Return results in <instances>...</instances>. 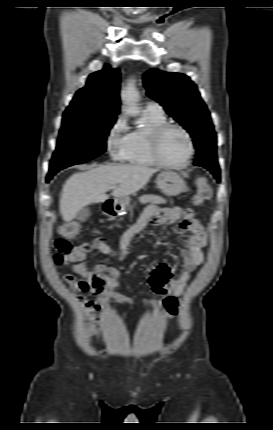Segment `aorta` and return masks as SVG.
<instances>
[{
    "label": "aorta",
    "instance_id": "aorta-1",
    "mask_svg": "<svg viewBox=\"0 0 273 430\" xmlns=\"http://www.w3.org/2000/svg\"><path fill=\"white\" fill-rule=\"evenodd\" d=\"M139 93L133 83H129L122 91V99L127 114L137 115L139 113Z\"/></svg>",
    "mask_w": 273,
    "mask_h": 430
}]
</instances>
